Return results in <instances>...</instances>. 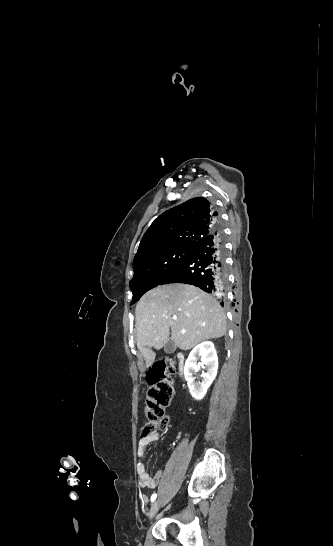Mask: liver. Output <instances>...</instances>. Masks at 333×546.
<instances>
[{"mask_svg": "<svg viewBox=\"0 0 333 546\" xmlns=\"http://www.w3.org/2000/svg\"><path fill=\"white\" fill-rule=\"evenodd\" d=\"M135 315L137 347L147 368L156 358L152 347L161 348L172 340L179 349L189 350L226 333V315L217 300L183 283L148 291L138 301Z\"/></svg>", "mask_w": 333, "mask_h": 546, "instance_id": "6515ba94", "label": "liver"}]
</instances>
